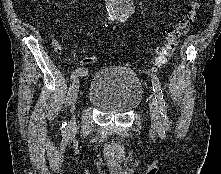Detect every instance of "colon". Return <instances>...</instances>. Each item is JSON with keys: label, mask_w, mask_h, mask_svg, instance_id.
<instances>
[{"label": "colon", "mask_w": 221, "mask_h": 174, "mask_svg": "<svg viewBox=\"0 0 221 174\" xmlns=\"http://www.w3.org/2000/svg\"><path fill=\"white\" fill-rule=\"evenodd\" d=\"M201 7L200 0H191L186 12L181 18L170 24L165 30L166 42L158 48L157 55L153 61V69L158 70L165 66L174 54L181 37L189 32L197 19ZM84 64L91 65L96 62V57L87 55L83 59Z\"/></svg>", "instance_id": "obj_1"}]
</instances>
